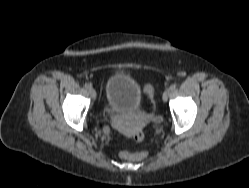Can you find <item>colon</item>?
<instances>
[{
	"instance_id": "1",
	"label": "colon",
	"mask_w": 249,
	"mask_h": 188,
	"mask_svg": "<svg viewBox=\"0 0 249 188\" xmlns=\"http://www.w3.org/2000/svg\"><path fill=\"white\" fill-rule=\"evenodd\" d=\"M144 92L146 94V96L148 98H152L153 97V94H154V91H153V88L152 86L148 85L145 87L144 89ZM134 140L136 142H141L143 140V134L141 132H137L134 134L133 136ZM144 154L143 153H130V152H127V151H124V152H121L120 154V157L122 159H126V160H131V159H135V158H141L143 157Z\"/></svg>"
}]
</instances>
